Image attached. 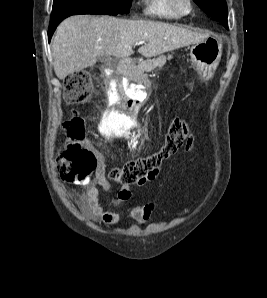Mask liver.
Masks as SVG:
<instances>
[{
    "label": "liver",
    "mask_w": 267,
    "mask_h": 298,
    "mask_svg": "<svg viewBox=\"0 0 267 298\" xmlns=\"http://www.w3.org/2000/svg\"><path fill=\"white\" fill-rule=\"evenodd\" d=\"M209 35L164 22L127 20L112 16L76 15L63 20L52 44L56 76L68 75L95 65L100 56L128 58L132 47L146 41L138 52L153 57L204 41Z\"/></svg>",
    "instance_id": "1"
}]
</instances>
